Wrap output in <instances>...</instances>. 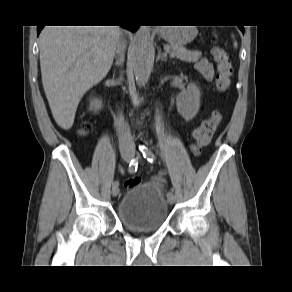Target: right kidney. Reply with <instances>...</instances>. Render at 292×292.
<instances>
[{
  "instance_id": "ca27d5eb",
  "label": "right kidney",
  "mask_w": 292,
  "mask_h": 292,
  "mask_svg": "<svg viewBox=\"0 0 292 292\" xmlns=\"http://www.w3.org/2000/svg\"><path fill=\"white\" fill-rule=\"evenodd\" d=\"M102 108V101L94 98L92 100H90V110H100Z\"/></svg>"
}]
</instances>
